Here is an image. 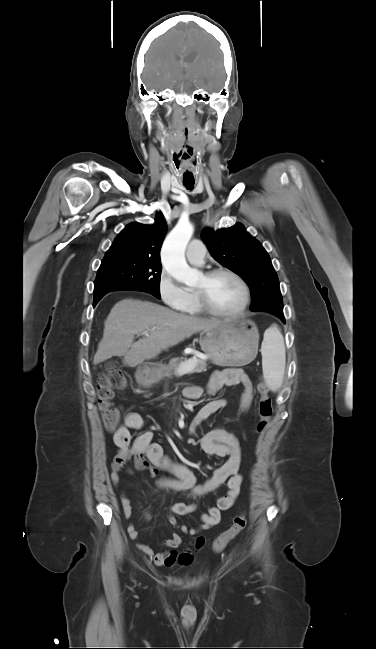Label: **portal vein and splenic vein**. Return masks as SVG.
<instances>
[{
    "mask_svg": "<svg viewBox=\"0 0 376 649\" xmlns=\"http://www.w3.org/2000/svg\"><path fill=\"white\" fill-rule=\"evenodd\" d=\"M155 329V328H154ZM145 336H148V332H143L142 333ZM195 361L196 359L189 360L185 363H183L179 368H178V373L180 372H185V371H190L191 369L194 368L195 366Z\"/></svg>",
    "mask_w": 376,
    "mask_h": 649,
    "instance_id": "obj_1",
    "label": "portal vein and splenic vein"
}]
</instances>
